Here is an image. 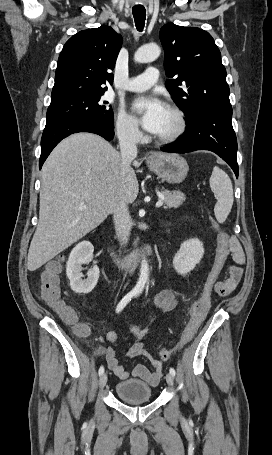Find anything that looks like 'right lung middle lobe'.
<instances>
[{
    "label": "right lung middle lobe",
    "mask_w": 272,
    "mask_h": 455,
    "mask_svg": "<svg viewBox=\"0 0 272 455\" xmlns=\"http://www.w3.org/2000/svg\"><path fill=\"white\" fill-rule=\"evenodd\" d=\"M103 94L70 96L51 101L46 124L66 119H96L113 126V110Z\"/></svg>",
    "instance_id": "dd1d6c3e"
}]
</instances>
